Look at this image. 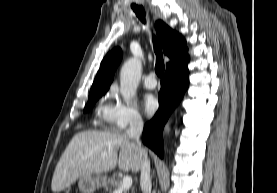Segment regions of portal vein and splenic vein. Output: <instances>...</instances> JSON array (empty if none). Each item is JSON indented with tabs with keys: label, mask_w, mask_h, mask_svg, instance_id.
Here are the masks:
<instances>
[{
	"label": "portal vein and splenic vein",
	"mask_w": 277,
	"mask_h": 193,
	"mask_svg": "<svg viewBox=\"0 0 277 193\" xmlns=\"http://www.w3.org/2000/svg\"><path fill=\"white\" fill-rule=\"evenodd\" d=\"M102 156H105V154H103ZM131 186L132 178L130 176H124L121 181L120 187L114 193H121L123 190L129 189Z\"/></svg>",
	"instance_id": "portal-vein-and-splenic-vein-1"
}]
</instances>
